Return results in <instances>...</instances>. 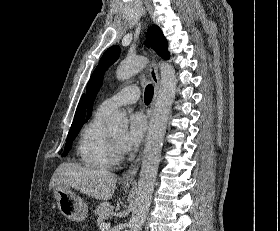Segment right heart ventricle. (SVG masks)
<instances>
[{
    "instance_id": "obj_1",
    "label": "right heart ventricle",
    "mask_w": 280,
    "mask_h": 231,
    "mask_svg": "<svg viewBox=\"0 0 280 231\" xmlns=\"http://www.w3.org/2000/svg\"><path fill=\"white\" fill-rule=\"evenodd\" d=\"M107 114L97 110L81 130L76 144V153L80 162L86 167L106 169L111 163L109 132L104 127V118Z\"/></svg>"
}]
</instances>
